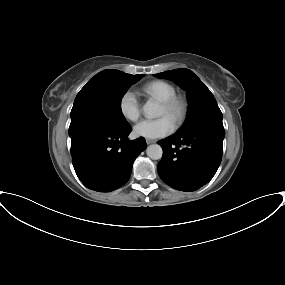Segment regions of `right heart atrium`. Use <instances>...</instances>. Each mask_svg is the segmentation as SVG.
I'll return each mask as SVG.
<instances>
[{"label":"right heart atrium","mask_w":285,"mask_h":285,"mask_svg":"<svg viewBox=\"0 0 285 285\" xmlns=\"http://www.w3.org/2000/svg\"><path fill=\"white\" fill-rule=\"evenodd\" d=\"M121 115L128 121L136 122L141 115V105L132 90L125 91L119 101Z\"/></svg>","instance_id":"1"}]
</instances>
